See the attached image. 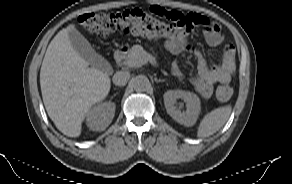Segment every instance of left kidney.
Returning <instances> with one entry per match:
<instances>
[{"mask_svg":"<svg viewBox=\"0 0 292 184\" xmlns=\"http://www.w3.org/2000/svg\"><path fill=\"white\" fill-rule=\"evenodd\" d=\"M163 97L166 111L175 121L187 127L195 124L201 109L200 99L196 94L189 91L169 90ZM177 99L184 100L186 111L181 112L177 109Z\"/></svg>","mask_w":292,"mask_h":184,"instance_id":"obj_1","label":"left kidney"}]
</instances>
